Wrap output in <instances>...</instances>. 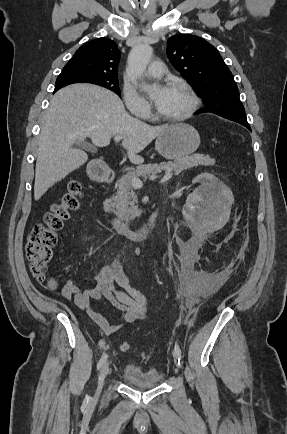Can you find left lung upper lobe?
<instances>
[{
    "label": "left lung upper lobe",
    "mask_w": 287,
    "mask_h": 434,
    "mask_svg": "<svg viewBox=\"0 0 287 434\" xmlns=\"http://www.w3.org/2000/svg\"><path fill=\"white\" fill-rule=\"evenodd\" d=\"M167 55L204 98V110L245 112L231 72L218 51L203 38L190 34L172 36L167 41Z\"/></svg>",
    "instance_id": "left-lung-upper-lobe-1"
}]
</instances>
